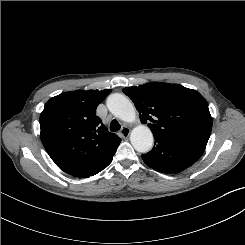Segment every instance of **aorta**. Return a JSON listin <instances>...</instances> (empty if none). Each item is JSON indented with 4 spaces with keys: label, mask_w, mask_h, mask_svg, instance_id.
<instances>
[{
    "label": "aorta",
    "mask_w": 245,
    "mask_h": 245,
    "mask_svg": "<svg viewBox=\"0 0 245 245\" xmlns=\"http://www.w3.org/2000/svg\"><path fill=\"white\" fill-rule=\"evenodd\" d=\"M107 107L115 117L122 121L131 123L136 119L134 106L122 94H111L107 99ZM130 141L136 151L146 153L153 146V134L147 126L139 125L132 130Z\"/></svg>",
    "instance_id": "762f6f07"
}]
</instances>
